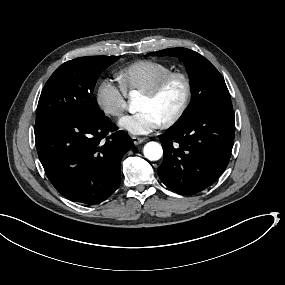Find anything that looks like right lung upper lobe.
Wrapping results in <instances>:
<instances>
[{"label": "right lung upper lobe", "mask_w": 285, "mask_h": 285, "mask_svg": "<svg viewBox=\"0 0 285 285\" xmlns=\"http://www.w3.org/2000/svg\"><path fill=\"white\" fill-rule=\"evenodd\" d=\"M107 62H116L120 56H96Z\"/></svg>", "instance_id": "1"}]
</instances>
